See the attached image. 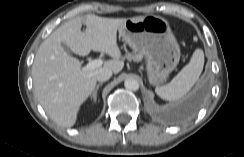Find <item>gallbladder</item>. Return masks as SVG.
Listing matches in <instances>:
<instances>
[{
    "label": "gallbladder",
    "instance_id": "obj_1",
    "mask_svg": "<svg viewBox=\"0 0 244 157\" xmlns=\"http://www.w3.org/2000/svg\"><path fill=\"white\" fill-rule=\"evenodd\" d=\"M62 46L68 54H72L70 49L65 44H62Z\"/></svg>",
    "mask_w": 244,
    "mask_h": 157
}]
</instances>
